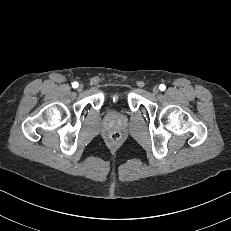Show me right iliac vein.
Instances as JSON below:
<instances>
[{
  "mask_svg": "<svg viewBox=\"0 0 231 231\" xmlns=\"http://www.w3.org/2000/svg\"><path fill=\"white\" fill-rule=\"evenodd\" d=\"M78 90H79V91H82V90H83V85H82V84L79 85Z\"/></svg>",
  "mask_w": 231,
  "mask_h": 231,
  "instance_id": "1",
  "label": "right iliac vein"
}]
</instances>
